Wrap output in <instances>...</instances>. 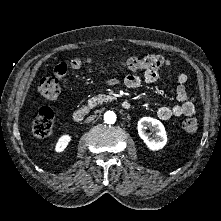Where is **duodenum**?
Instances as JSON below:
<instances>
[{
	"mask_svg": "<svg viewBox=\"0 0 221 221\" xmlns=\"http://www.w3.org/2000/svg\"><path fill=\"white\" fill-rule=\"evenodd\" d=\"M121 106L123 109H130L131 104L128 101H122ZM90 113V109L88 106H82L78 109H76L73 113V119L77 122H80L82 119H84L88 114Z\"/></svg>",
	"mask_w": 221,
	"mask_h": 221,
	"instance_id": "duodenum-1",
	"label": "duodenum"
}]
</instances>
